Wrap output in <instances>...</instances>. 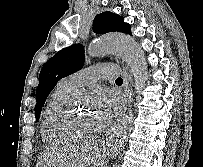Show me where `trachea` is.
I'll return each mask as SVG.
<instances>
[{
	"instance_id": "obj_1",
	"label": "trachea",
	"mask_w": 203,
	"mask_h": 167,
	"mask_svg": "<svg viewBox=\"0 0 203 167\" xmlns=\"http://www.w3.org/2000/svg\"><path fill=\"white\" fill-rule=\"evenodd\" d=\"M116 82H123V80H122L121 77H119V78L116 79Z\"/></svg>"
}]
</instances>
